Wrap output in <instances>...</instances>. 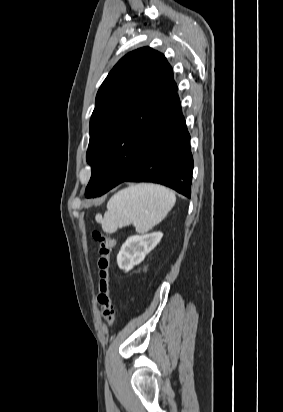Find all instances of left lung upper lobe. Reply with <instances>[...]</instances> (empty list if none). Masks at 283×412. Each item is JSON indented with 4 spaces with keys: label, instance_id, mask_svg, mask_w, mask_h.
<instances>
[{
    "label": "left lung upper lobe",
    "instance_id": "1",
    "mask_svg": "<svg viewBox=\"0 0 283 412\" xmlns=\"http://www.w3.org/2000/svg\"><path fill=\"white\" fill-rule=\"evenodd\" d=\"M178 100L177 85L165 57L149 47L125 55L96 96L86 154L92 174L101 152L137 162L157 125ZM100 184L90 179L86 197H97Z\"/></svg>",
    "mask_w": 283,
    "mask_h": 412
}]
</instances>
